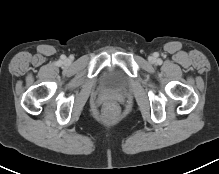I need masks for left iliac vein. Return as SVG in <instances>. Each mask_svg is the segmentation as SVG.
I'll return each instance as SVG.
<instances>
[{
    "instance_id": "4c4485c4",
    "label": "left iliac vein",
    "mask_w": 219,
    "mask_h": 174,
    "mask_svg": "<svg viewBox=\"0 0 219 174\" xmlns=\"http://www.w3.org/2000/svg\"><path fill=\"white\" fill-rule=\"evenodd\" d=\"M154 61V58L152 57L151 59H150V62H153Z\"/></svg>"
}]
</instances>
